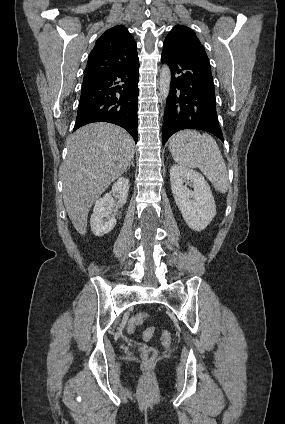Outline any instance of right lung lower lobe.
<instances>
[{
	"label": "right lung lower lobe",
	"mask_w": 285,
	"mask_h": 424,
	"mask_svg": "<svg viewBox=\"0 0 285 424\" xmlns=\"http://www.w3.org/2000/svg\"><path fill=\"white\" fill-rule=\"evenodd\" d=\"M139 61L111 73L84 79L73 131L93 122H109L138 140Z\"/></svg>",
	"instance_id": "1"
}]
</instances>
